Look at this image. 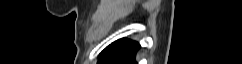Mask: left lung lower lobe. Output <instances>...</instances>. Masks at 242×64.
I'll list each match as a JSON object with an SVG mask.
<instances>
[{
    "label": "left lung lower lobe",
    "instance_id": "0a47b994",
    "mask_svg": "<svg viewBox=\"0 0 242 64\" xmlns=\"http://www.w3.org/2000/svg\"><path fill=\"white\" fill-rule=\"evenodd\" d=\"M139 49L138 42L125 38L119 39L100 53L98 64H137L135 55Z\"/></svg>",
    "mask_w": 242,
    "mask_h": 64
}]
</instances>
